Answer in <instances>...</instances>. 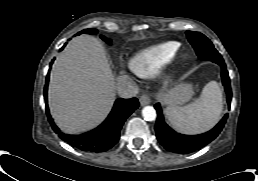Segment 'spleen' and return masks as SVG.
Here are the masks:
<instances>
[{
	"instance_id": "spleen-1",
	"label": "spleen",
	"mask_w": 258,
	"mask_h": 181,
	"mask_svg": "<svg viewBox=\"0 0 258 181\" xmlns=\"http://www.w3.org/2000/svg\"><path fill=\"white\" fill-rule=\"evenodd\" d=\"M222 109V91L216 81H211L194 102L183 107L168 106L165 114L177 131L197 134L211 129L219 121Z\"/></svg>"
}]
</instances>
